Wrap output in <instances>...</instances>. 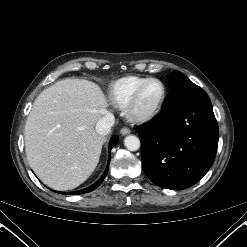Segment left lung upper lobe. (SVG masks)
<instances>
[{
    "label": "left lung upper lobe",
    "instance_id": "5c2ea615",
    "mask_svg": "<svg viewBox=\"0 0 247 247\" xmlns=\"http://www.w3.org/2000/svg\"><path fill=\"white\" fill-rule=\"evenodd\" d=\"M170 92L181 89L194 88L197 85L191 82L185 75L179 71H174L168 75Z\"/></svg>",
    "mask_w": 247,
    "mask_h": 247
}]
</instances>
